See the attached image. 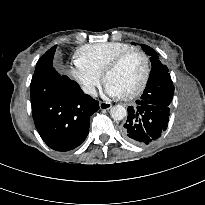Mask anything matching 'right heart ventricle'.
I'll use <instances>...</instances> for the list:
<instances>
[{
    "label": "right heart ventricle",
    "mask_w": 205,
    "mask_h": 205,
    "mask_svg": "<svg viewBox=\"0 0 205 205\" xmlns=\"http://www.w3.org/2000/svg\"><path fill=\"white\" fill-rule=\"evenodd\" d=\"M129 48L131 46L123 42L88 44L79 48L77 60L101 76L107 64L116 55Z\"/></svg>",
    "instance_id": "obj_1"
}]
</instances>
